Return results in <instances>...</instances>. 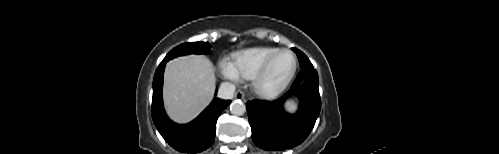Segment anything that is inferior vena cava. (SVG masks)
<instances>
[{
  "label": "inferior vena cava",
  "mask_w": 499,
  "mask_h": 154,
  "mask_svg": "<svg viewBox=\"0 0 499 154\" xmlns=\"http://www.w3.org/2000/svg\"><path fill=\"white\" fill-rule=\"evenodd\" d=\"M235 90H236V87L234 84L229 83V82H224L220 85V88L218 91V97L221 99H232L234 96Z\"/></svg>",
  "instance_id": "602c4592"
}]
</instances>
